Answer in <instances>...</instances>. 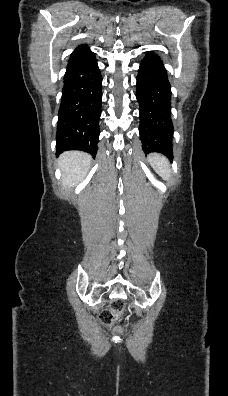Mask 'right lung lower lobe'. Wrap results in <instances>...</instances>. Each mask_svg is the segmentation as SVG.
<instances>
[{"mask_svg":"<svg viewBox=\"0 0 228 396\" xmlns=\"http://www.w3.org/2000/svg\"><path fill=\"white\" fill-rule=\"evenodd\" d=\"M102 77L93 52L87 46L70 56L64 75L56 136L57 155L81 150L95 155L99 139Z\"/></svg>","mask_w":228,"mask_h":396,"instance_id":"1","label":"right lung lower lobe"}]
</instances>
